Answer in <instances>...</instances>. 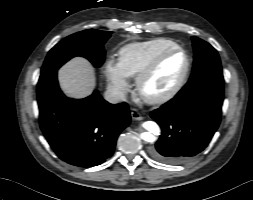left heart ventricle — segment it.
<instances>
[{
  "label": "left heart ventricle",
  "instance_id": "obj_1",
  "mask_svg": "<svg viewBox=\"0 0 253 200\" xmlns=\"http://www.w3.org/2000/svg\"><path fill=\"white\" fill-rule=\"evenodd\" d=\"M186 64L184 54L173 53L160 63L144 85L146 94L155 96L169 90L181 76Z\"/></svg>",
  "mask_w": 253,
  "mask_h": 200
}]
</instances>
